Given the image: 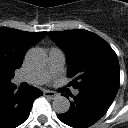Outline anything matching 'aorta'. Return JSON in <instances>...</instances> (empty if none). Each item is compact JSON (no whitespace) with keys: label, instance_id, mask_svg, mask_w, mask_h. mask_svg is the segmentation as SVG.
<instances>
[{"label":"aorta","instance_id":"1","mask_svg":"<svg viewBox=\"0 0 128 128\" xmlns=\"http://www.w3.org/2000/svg\"><path fill=\"white\" fill-rule=\"evenodd\" d=\"M27 64L31 67H42L46 64V53L40 48H31L25 55ZM52 107L58 114L66 113L70 108L69 100L61 95L55 96L53 99Z\"/></svg>","mask_w":128,"mask_h":128}]
</instances>
